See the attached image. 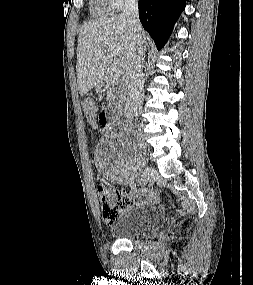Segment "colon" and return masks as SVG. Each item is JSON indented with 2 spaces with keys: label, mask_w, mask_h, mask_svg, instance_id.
I'll use <instances>...</instances> for the list:
<instances>
[{
  "label": "colon",
  "mask_w": 253,
  "mask_h": 285,
  "mask_svg": "<svg viewBox=\"0 0 253 285\" xmlns=\"http://www.w3.org/2000/svg\"><path fill=\"white\" fill-rule=\"evenodd\" d=\"M84 111L87 120L93 124L94 128H97V111L93 103L86 102ZM97 191L101 201L102 216L107 223L115 222L125 209L134 204V198L125 191L108 188L103 185L98 186Z\"/></svg>",
  "instance_id": "1"
}]
</instances>
